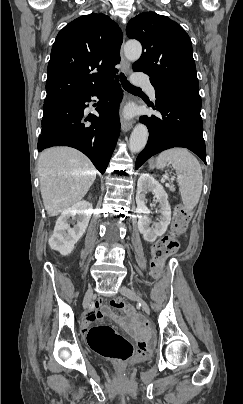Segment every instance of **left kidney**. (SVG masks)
<instances>
[{
	"mask_svg": "<svg viewBox=\"0 0 243 404\" xmlns=\"http://www.w3.org/2000/svg\"><path fill=\"white\" fill-rule=\"evenodd\" d=\"M148 192L154 194V198H157L160 202V220L154 224V228H149L150 220L148 218L150 210L145 206V196ZM136 212L138 218V230L140 234H143L144 240L153 244L157 240L158 236L165 234L170 222H171V208L168 202V194H166L163 186L156 182L155 178L149 176V174H141L137 182V194H136Z\"/></svg>",
	"mask_w": 243,
	"mask_h": 404,
	"instance_id": "1",
	"label": "left kidney"
}]
</instances>
